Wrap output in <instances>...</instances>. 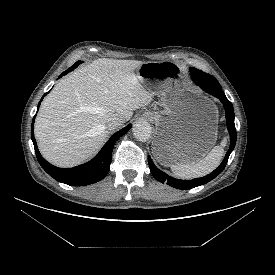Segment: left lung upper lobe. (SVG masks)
Segmentation results:
<instances>
[{"mask_svg": "<svg viewBox=\"0 0 275 275\" xmlns=\"http://www.w3.org/2000/svg\"><path fill=\"white\" fill-rule=\"evenodd\" d=\"M214 83H215V86H216L217 88H221L219 82H218L216 79H215Z\"/></svg>", "mask_w": 275, "mask_h": 275, "instance_id": "obj_1", "label": "left lung upper lobe"}]
</instances>
